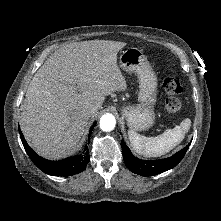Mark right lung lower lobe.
Returning <instances> with one entry per match:
<instances>
[{
	"label": "right lung lower lobe",
	"instance_id": "98d812e1",
	"mask_svg": "<svg viewBox=\"0 0 221 221\" xmlns=\"http://www.w3.org/2000/svg\"><path fill=\"white\" fill-rule=\"evenodd\" d=\"M96 125V122L93 124L89 131V137L90 134ZM21 141L23 143V146L32 160V162L44 173L52 176H71L77 173H80L85 170L88 162H89V149L88 146H85V150L82 154L75 155L70 158H66L59 161H50L47 159H44L37 155L31 147L27 144L26 140L24 139V136L22 132L19 130Z\"/></svg>",
	"mask_w": 221,
	"mask_h": 221
}]
</instances>
